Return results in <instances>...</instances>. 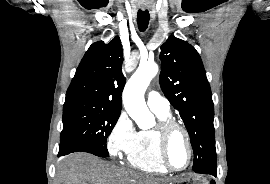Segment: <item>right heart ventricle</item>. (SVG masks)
I'll use <instances>...</instances> for the list:
<instances>
[{"label":"right heart ventricle","mask_w":270,"mask_h":184,"mask_svg":"<svg viewBox=\"0 0 270 184\" xmlns=\"http://www.w3.org/2000/svg\"><path fill=\"white\" fill-rule=\"evenodd\" d=\"M160 120L170 118L169 112H155ZM129 166L141 171L166 174L168 170L162 165L157 145L155 129L141 130L137 133L135 142L127 154Z\"/></svg>","instance_id":"e07e8e85"}]
</instances>
